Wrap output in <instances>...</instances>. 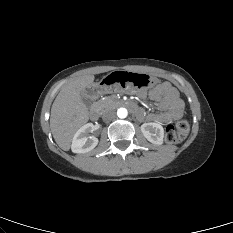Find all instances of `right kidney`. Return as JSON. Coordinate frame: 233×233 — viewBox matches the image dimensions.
<instances>
[{"label":"right kidney","instance_id":"right-kidney-1","mask_svg":"<svg viewBox=\"0 0 233 233\" xmlns=\"http://www.w3.org/2000/svg\"><path fill=\"white\" fill-rule=\"evenodd\" d=\"M93 130L94 125L92 123H87L75 133L71 144L72 152L86 153L97 146L98 139L94 136H88Z\"/></svg>","mask_w":233,"mask_h":233}]
</instances>
